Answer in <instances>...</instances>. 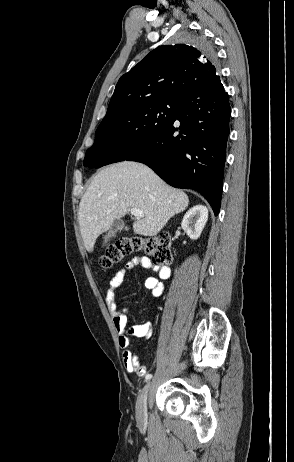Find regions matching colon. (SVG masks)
Here are the masks:
<instances>
[{
  "label": "colon",
  "instance_id": "5ec220e1",
  "mask_svg": "<svg viewBox=\"0 0 294 462\" xmlns=\"http://www.w3.org/2000/svg\"><path fill=\"white\" fill-rule=\"evenodd\" d=\"M134 252L145 253L157 265H169L173 260L171 238L160 233L151 237H120L105 248L99 263L108 269Z\"/></svg>",
  "mask_w": 294,
  "mask_h": 462
}]
</instances>
